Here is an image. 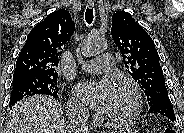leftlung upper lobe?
Returning <instances> with one entry per match:
<instances>
[{
    "label": "left lung upper lobe",
    "instance_id": "5c2ea615",
    "mask_svg": "<svg viewBox=\"0 0 184 133\" xmlns=\"http://www.w3.org/2000/svg\"><path fill=\"white\" fill-rule=\"evenodd\" d=\"M111 34L128 73L147 96L149 106L160 101H170L160 58L147 32L130 13L118 11L112 16Z\"/></svg>",
    "mask_w": 184,
    "mask_h": 133
}]
</instances>
